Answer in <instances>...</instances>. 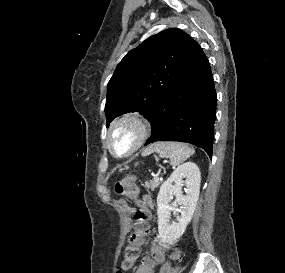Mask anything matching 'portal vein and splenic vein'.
I'll return each mask as SVG.
<instances>
[{"instance_id": "18ae733b", "label": "portal vein and splenic vein", "mask_w": 285, "mask_h": 273, "mask_svg": "<svg viewBox=\"0 0 285 273\" xmlns=\"http://www.w3.org/2000/svg\"><path fill=\"white\" fill-rule=\"evenodd\" d=\"M159 175H160V173H157V174L154 176V179H155V180H158V179H159Z\"/></svg>"}]
</instances>
